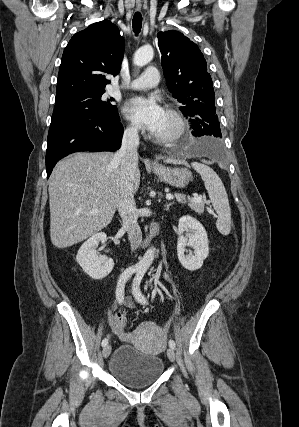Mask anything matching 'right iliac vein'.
<instances>
[{
    "label": "right iliac vein",
    "instance_id": "1",
    "mask_svg": "<svg viewBox=\"0 0 299 427\" xmlns=\"http://www.w3.org/2000/svg\"><path fill=\"white\" fill-rule=\"evenodd\" d=\"M102 353H103V357L107 358L110 355V353H111V346L110 345H106L103 348V352Z\"/></svg>",
    "mask_w": 299,
    "mask_h": 427
}]
</instances>
